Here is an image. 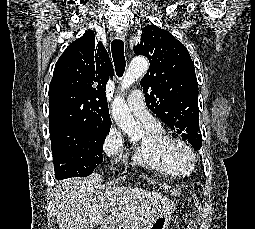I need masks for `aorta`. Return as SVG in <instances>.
Listing matches in <instances>:
<instances>
[{
	"mask_svg": "<svg viewBox=\"0 0 255 229\" xmlns=\"http://www.w3.org/2000/svg\"><path fill=\"white\" fill-rule=\"evenodd\" d=\"M148 69V62L143 57L133 59L121 82L122 89L130 87ZM112 115L116 123L133 141L141 138L142 131L138 127L127 104L121 96L115 97L112 104Z\"/></svg>",
	"mask_w": 255,
	"mask_h": 229,
	"instance_id": "obj_1",
	"label": "aorta"
}]
</instances>
